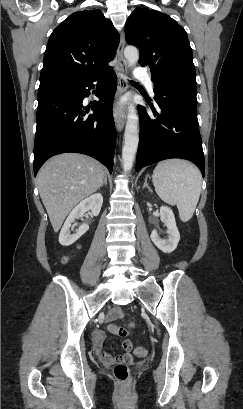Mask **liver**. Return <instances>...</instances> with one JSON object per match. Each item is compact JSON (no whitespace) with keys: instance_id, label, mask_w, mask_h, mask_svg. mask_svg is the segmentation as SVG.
I'll list each match as a JSON object with an SVG mask.
<instances>
[{"instance_id":"6515ba94","label":"liver","mask_w":243,"mask_h":409,"mask_svg":"<svg viewBox=\"0 0 243 409\" xmlns=\"http://www.w3.org/2000/svg\"><path fill=\"white\" fill-rule=\"evenodd\" d=\"M104 176L102 164L86 155L64 153L46 161L37 184L55 232L79 202L100 188Z\"/></svg>"}]
</instances>
